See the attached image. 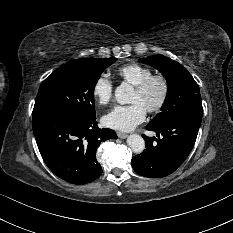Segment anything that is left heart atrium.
I'll return each mask as SVG.
<instances>
[{"label":"left heart atrium","mask_w":233,"mask_h":233,"mask_svg":"<svg viewBox=\"0 0 233 233\" xmlns=\"http://www.w3.org/2000/svg\"><path fill=\"white\" fill-rule=\"evenodd\" d=\"M146 109L138 102L116 106L103 118L104 124L112 129L130 131L144 121Z\"/></svg>","instance_id":"1"}]
</instances>
